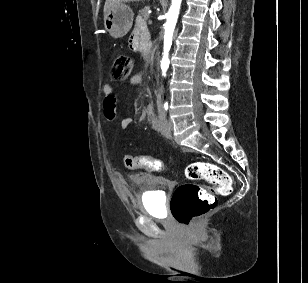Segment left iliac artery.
<instances>
[{"mask_svg": "<svg viewBox=\"0 0 308 283\" xmlns=\"http://www.w3.org/2000/svg\"><path fill=\"white\" fill-rule=\"evenodd\" d=\"M165 109H167V103H165Z\"/></svg>", "mask_w": 308, "mask_h": 283, "instance_id": "left-iliac-artery-1", "label": "left iliac artery"}]
</instances>
